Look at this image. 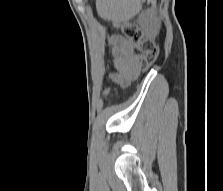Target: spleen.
Here are the masks:
<instances>
[{"mask_svg": "<svg viewBox=\"0 0 223 191\" xmlns=\"http://www.w3.org/2000/svg\"><path fill=\"white\" fill-rule=\"evenodd\" d=\"M96 8L100 17L122 21L131 18L139 10V0H96Z\"/></svg>", "mask_w": 223, "mask_h": 191, "instance_id": "obj_1", "label": "spleen"}]
</instances>
